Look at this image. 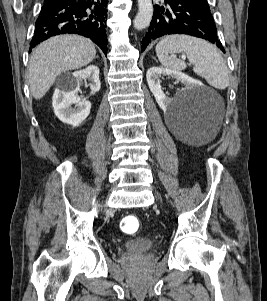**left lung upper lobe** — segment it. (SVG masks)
<instances>
[{
    "mask_svg": "<svg viewBox=\"0 0 267 301\" xmlns=\"http://www.w3.org/2000/svg\"><path fill=\"white\" fill-rule=\"evenodd\" d=\"M195 1L201 4L202 6L209 8L207 0H195Z\"/></svg>",
    "mask_w": 267,
    "mask_h": 301,
    "instance_id": "obj_1",
    "label": "left lung upper lobe"
}]
</instances>
